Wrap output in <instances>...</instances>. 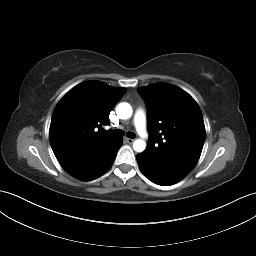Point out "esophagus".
I'll return each mask as SVG.
<instances>
[{
    "label": "esophagus",
    "mask_w": 256,
    "mask_h": 256,
    "mask_svg": "<svg viewBox=\"0 0 256 256\" xmlns=\"http://www.w3.org/2000/svg\"><path fill=\"white\" fill-rule=\"evenodd\" d=\"M125 141L129 144L133 143L134 142V139H131V138H125Z\"/></svg>",
    "instance_id": "1"
}]
</instances>
